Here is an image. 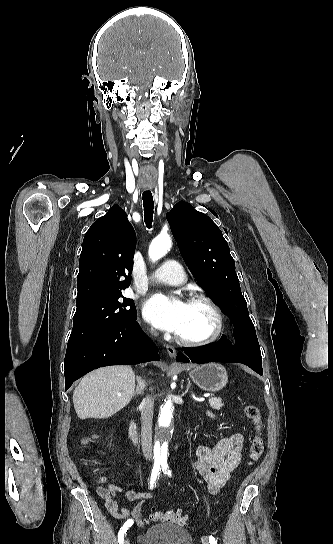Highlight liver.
Instances as JSON below:
<instances>
[{"instance_id": "6515ba94", "label": "liver", "mask_w": 333, "mask_h": 544, "mask_svg": "<svg viewBox=\"0 0 333 544\" xmlns=\"http://www.w3.org/2000/svg\"><path fill=\"white\" fill-rule=\"evenodd\" d=\"M135 375L129 366H108L88 373L73 392L77 416L108 418L131 401ZM121 394V396H119Z\"/></svg>"}]
</instances>
